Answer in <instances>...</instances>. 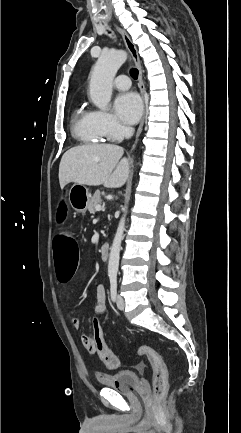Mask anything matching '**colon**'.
Here are the masks:
<instances>
[{
  "label": "colon",
  "instance_id": "5ec220e1",
  "mask_svg": "<svg viewBox=\"0 0 241 433\" xmlns=\"http://www.w3.org/2000/svg\"><path fill=\"white\" fill-rule=\"evenodd\" d=\"M56 206L58 208V218L63 220L67 214L69 203L67 200H58ZM51 249L57 279L61 283H68L73 278L78 263V247L76 238H74V230H53ZM98 318L99 315H96V318H93L91 321L93 341L87 343V348L95 351L109 369H116L119 365V360L106 344ZM137 355L146 357L152 365L154 402L158 404L159 400L166 393L168 386L166 363L157 351L147 345L139 347Z\"/></svg>",
  "mask_w": 241,
  "mask_h": 433
}]
</instances>
